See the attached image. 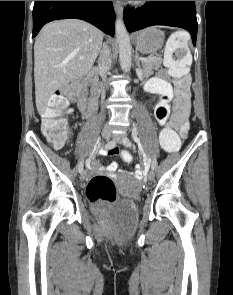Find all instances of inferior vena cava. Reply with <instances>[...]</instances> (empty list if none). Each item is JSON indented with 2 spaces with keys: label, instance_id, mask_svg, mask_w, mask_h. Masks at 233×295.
I'll list each match as a JSON object with an SVG mask.
<instances>
[{
  "label": "inferior vena cava",
  "instance_id": "602c4592",
  "mask_svg": "<svg viewBox=\"0 0 233 295\" xmlns=\"http://www.w3.org/2000/svg\"><path fill=\"white\" fill-rule=\"evenodd\" d=\"M111 57H110V50L109 47L106 44H103L102 50L100 51V56L98 59V68L100 75L102 77V81L104 85L106 86V78H107V72L111 68Z\"/></svg>",
  "mask_w": 233,
  "mask_h": 295
}]
</instances>
